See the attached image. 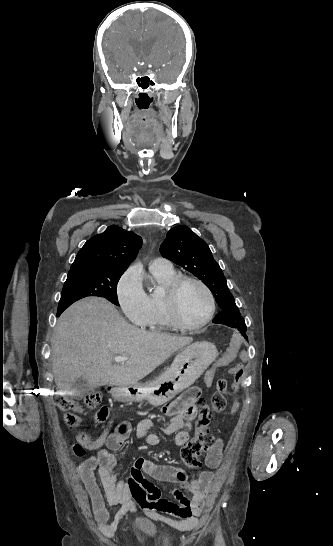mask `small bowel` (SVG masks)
<instances>
[{
	"mask_svg": "<svg viewBox=\"0 0 333 546\" xmlns=\"http://www.w3.org/2000/svg\"><path fill=\"white\" fill-rule=\"evenodd\" d=\"M242 343L241 334L234 332L225 346L217 361H213L211 369H207L204 387L210 386V381L217 372H225L234 361L246 360V355L238 354L237 348ZM197 395L195 389L190 390L182 398L185 401L180 406L179 401H172L165 405L164 412L170 416V422L162 427L168 434L176 433L174 443L176 446H183L188 442L191 434V422L196 416V409L192 399ZM229 411L237 413V406L234 404ZM154 426L150 420H142L136 427V436L149 445H159L161 439L150 429ZM131 427L122 423L112 432L105 430L98 438L91 439L87 434L81 433L77 436V442L73 445V453L82 458L76 468L82 482L89 494L94 517L104 535L112 537L123 517L128 513H135L142 510L165 525L179 531H190L198 524V516L203 511L208 492L213 480V473L209 470L201 471L193 479L179 468L173 466L159 465L152 461L139 458L131 470L127 481L117 478L115 471L118 463L117 457L111 452L100 453L99 455L86 456L87 451L97 450L104 445L109 451L118 450L124 441L129 437ZM223 441L216 438L207 451L205 465L208 468H215L222 458ZM95 471L98 472L100 485L104 490L102 495L100 485L96 481ZM146 474L153 480L178 483L184 489L192 493L189 499L181 490H175L173 495L177 502L161 499L159 490L143 475ZM109 505H120L114 520L109 523ZM174 515L179 519L175 520L167 515Z\"/></svg>",
	"mask_w": 333,
	"mask_h": 546,
	"instance_id": "obj_1",
	"label": "small bowel"
}]
</instances>
